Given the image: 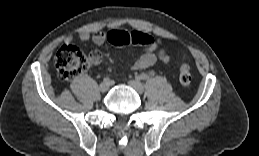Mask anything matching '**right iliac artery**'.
<instances>
[{"instance_id": "right-iliac-artery-1", "label": "right iliac artery", "mask_w": 259, "mask_h": 156, "mask_svg": "<svg viewBox=\"0 0 259 156\" xmlns=\"http://www.w3.org/2000/svg\"><path fill=\"white\" fill-rule=\"evenodd\" d=\"M104 81L109 82L110 81L109 77H105Z\"/></svg>"}]
</instances>
